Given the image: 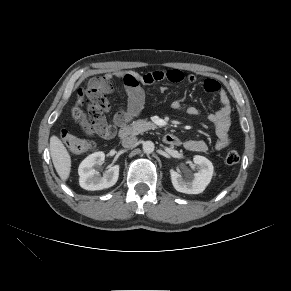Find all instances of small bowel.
Wrapping results in <instances>:
<instances>
[{"mask_svg":"<svg viewBox=\"0 0 291 291\" xmlns=\"http://www.w3.org/2000/svg\"><path fill=\"white\" fill-rule=\"evenodd\" d=\"M117 78L123 82L125 92L127 95V103L124 108H121L113 116V124L106 121L103 113L110 110V105L106 100L102 109V121L93 129V134L100 137H111L114 134L116 126L125 125L127 122L137 117L142 111L145 103V92L143 86L152 85L160 81H169L172 83L193 84L196 79L192 74H185L180 70L167 71H150L144 74L135 71H118L114 74H105L101 77H95L89 81L88 86L102 85L105 93L112 91V79ZM204 89L209 93L218 95L221 108L208 115V120L213 124L215 134L217 137L215 147L221 150L227 147L231 138L229 129L231 126V103L227 92L221 88L218 81L214 79H207L204 82ZM171 107L176 111H182L190 116H196L200 113L195 106H185L183 98L176 99L172 102ZM184 147L193 152H204L207 149L205 142L201 140H187L184 142Z\"/></svg>","mask_w":291,"mask_h":291,"instance_id":"small-bowel-1","label":"small bowel"}]
</instances>
